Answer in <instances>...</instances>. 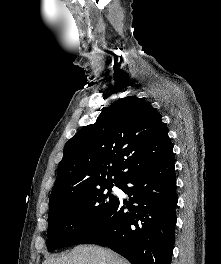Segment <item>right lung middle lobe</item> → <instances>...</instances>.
<instances>
[{
  "mask_svg": "<svg viewBox=\"0 0 221 264\" xmlns=\"http://www.w3.org/2000/svg\"><path fill=\"white\" fill-rule=\"evenodd\" d=\"M113 183L78 192L58 202L48 214V251L80 243L118 202ZM121 186V183H115Z\"/></svg>",
  "mask_w": 221,
  "mask_h": 264,
  "instance_id": "right-lung-middle-lobe-1",
  "label": "right lung middle lobe"
}]
</instances>
